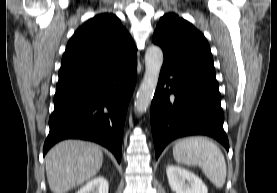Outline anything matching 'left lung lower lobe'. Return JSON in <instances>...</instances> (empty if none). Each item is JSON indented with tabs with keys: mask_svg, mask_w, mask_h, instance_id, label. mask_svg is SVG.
Wrapping results in <instances>:
<instances>
[{
	"mask_svg": "<svg viewBox=\"0 0 277 193\" xmlns=\"http://www.w3.org/2000/svg\"><path fill=\"white\" fill-rule=\"evenodd\" d=\"M215 71L164 62L151 103V129L156 159L174 139L207 135L228 151L224 114Z\"/></svg>",
	"mask_w": 277,
	"mask_h": 193,
	"instance_id": "0a47b994",
	"label": "left lung lower lobe"
}]
</instances>
